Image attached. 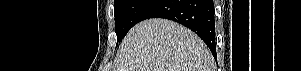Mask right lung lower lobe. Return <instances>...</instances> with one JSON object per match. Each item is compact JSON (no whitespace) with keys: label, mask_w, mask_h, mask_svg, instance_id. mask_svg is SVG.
I'll use <instances>...</instances> for the list:
<instances>
[{"label":"right lung lower lobe","mask_w":301,"mask_h":71,"mask_svg":"<svg viewBox=\"0 0 301 71\" xmlns=\"http://www.w3.org/2000/svg\"><path fill=\"white\" fill-rule=\"evenodd\" d=\"M213 0H155L141 15L140 21L165 18L194 31L216 58Z\"/></svg>","instance_id":"1"}]
</instances>
